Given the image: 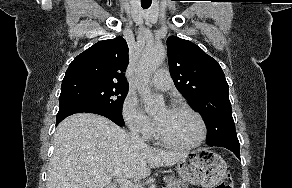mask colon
<instances>
[{
	"label": "colon",
	"mask_w": 292,
	"mask_h": 188,
	"mask_svg": "<svg viewBox=\"0 0 292 188\" xmlns=\"http://www.w3.org/2000/svg\"><path fill=\"white\" fill-rule=\"evenodd\" d=\"M215 188H233V182L230 175H227L224 179H222Z\"/></svg>",
	"instance_id": "5ec220e1"
}]
</instances>
